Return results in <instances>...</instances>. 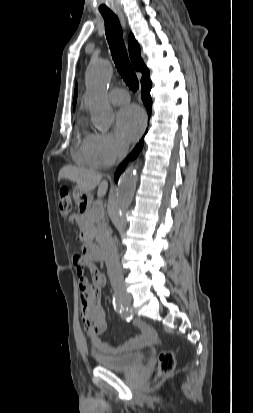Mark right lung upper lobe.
Listing matches in <instances>:
<instances>
[{
	"instance_id": "1",
	"label": "right lung upper lobe",
	"mask_w": 253,
	"mask_h": 413,
	"mask_svg": "<svg viewBox=\"0 0 253 413\" xmlns=\"http://www.w3.org/2000/svg\"><path fill=\"white\" fill-rule=\"evenodd\" d=\"M128 43H129V53H130L131 62L135 70L141 71L142 77L145 76L146 74H149V70L147 69V67L145 66L141 58L139 44L135 40V37L132 34L129 35ZM76 98H77V87L75 88V96H74V101H73L74 105L76 103Z\"/></svg>"
}]
</instances>
